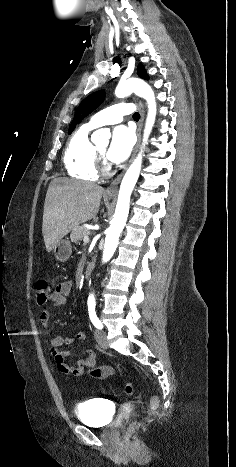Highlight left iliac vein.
I'll list each match as a JSON object with an SVG mask.
<instances>
[{
  "mask_svg": "<svg viewBox=\"0 0 236 467\" xmlns=\"http://www.w3.org/2000/svg\"><path fill=\"white\" fill-rule=\"evenodd\" d=\"M95 339L101 348L103 349L108 348V341L106 338V333L103 330L98 329L95 331Z\"/></svg>",
  "mask_w": 236,
  "mask_h": 467,
  "instance_id": "obj_1",
  "label": "left iliac vein"
}]
</instances>
